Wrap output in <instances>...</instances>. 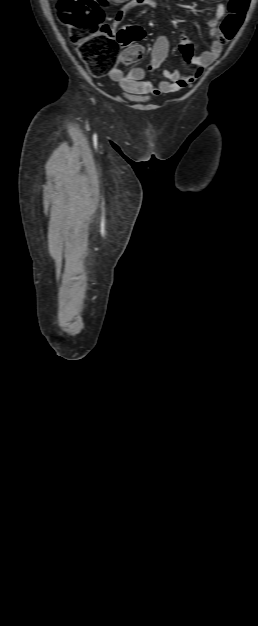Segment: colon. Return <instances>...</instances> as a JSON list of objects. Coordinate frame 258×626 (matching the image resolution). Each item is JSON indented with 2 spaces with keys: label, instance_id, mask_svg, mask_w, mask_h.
Masks as SVG:
<instances>
[{
  "label": "colon",
  "instance_id": "1",
  "mask_svg": "<svg viewBox=\"0 0 258 626\" xmlns=\"http://www.w3.org/2000/svg\"><path fill=\"white\" fill-rule=\"evenodd\" d=\"M125 0H57L56 13L62 24L68 27L70 39L77 46L80 58L95 75H103L120 55L121 46L126 47L122 54L125 62L138 61L144 49L134 43L143 36L139 26L126 27L118 31L117 41L106 34L103 7L121 4ZM250 0H229L228 14L219 27L218 40L225 43L231 40L241 27Z\"/></svg>",
  "mask_w": 258,
  "mask_h": 626
}]
</instances>
